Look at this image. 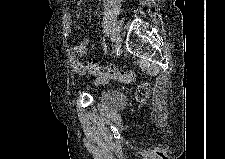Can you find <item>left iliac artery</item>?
Segmentation results:
<instances>
[{
  "mask_svg": "<svg viewBox=\"0 0 225 159\" xmlns=\"http://www.w3.org/2000/svg\"><path fill=\"white\" fill-rule=\"evenodd\" d=\"M109 41H110V44H114L115 43V40H114V32L113 31H110L109 32Z\"/></svg>",
  "mask_w": 225,
  "mask_h": 159,
  "instance_id": "left-iliac-artery-1",
  "label": "left iliac artery"
}]
</instances>
